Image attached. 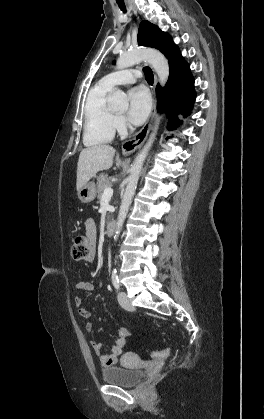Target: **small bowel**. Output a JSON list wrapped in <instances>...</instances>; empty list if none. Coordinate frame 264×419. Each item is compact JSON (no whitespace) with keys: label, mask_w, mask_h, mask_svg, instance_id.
<instances>
[{"label":"small bowel","mask_w":264,"mask_h":419,"mask_svg":"<svg viewBox=\"0 0 264 419\" xmlns=\"http://www.w3.org/2000/svg\"><path fill=\"white\" fill-rule=\"evenodd\" d=\"M84 229L90 243V253L88 257L84 259V261L91 262L94 260L96 255V222L93 219L86 220L84 223ZM76 289L82 295L90 296L95 289V285L90 281H80L76 284ZM75 302L79 315L83 319L89 320L91 313L84 305V298L82 296H78ZM86 330L88 332H92L94 330V324L91 321L86 323ZM129 333V330L126 327H120L116 332L115 341L108 352L104 351L101 343L96 341L91 342V346L100 356V363L102 366L110 367L117 363L119 356L122 354L125 348L126 338L128 337Z\"/></svg>","instance_id":"1"}]
</instances>
